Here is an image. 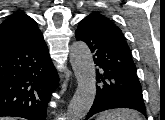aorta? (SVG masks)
<instances>
[{
  "label": "aorta",
  "instance_id": "obj_1",
  "mask_svg": "<svg viewBox=\"0 0 165 120\" xmlns=\"http://www.w3.org/2000/svg\"><path fill=\"white\" fill-rule=\"evenodd\" d=\"M70 63L77 79L76 92L68 106L70 120L83 119L90 110L96 96V71L88 46L76 41L70 48Z\"/></svg>",
  "mask_w": 165,
  "mask_h": 120
}]
</instances>
